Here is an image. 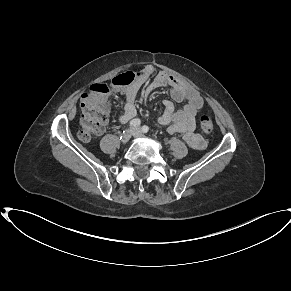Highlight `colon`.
I'll return each mask as SVG.
<instances>
[{
  "label": "colon",
  "mask_w": 291,
  "mask_h": 291,
  "mask_svg": "<svg viewBox=\"0 0 291 291\" xmlns=\"http://www.w3.org/2000/svg\"><path fill=\"white\" fill-rule=\"evenodd\" d=\"M135 75L128 73L113 79L112 83H98L82 96L79 138L88 142L100 135L104 131L108 118L109 105L105 96L110 88L127 86L133 82ZM200 130L204 134H210L213 130V122L209 115L202 114L198 118Z\"/></svg>",
  "instance_id": "1"
}]
</instances>
